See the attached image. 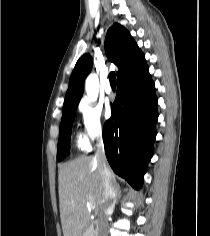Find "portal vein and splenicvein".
Returning <instances> with one entry per match:
<instances>
[{"mask_svg": "<svg viewBox=\"0 0 210 236\" xmlns=\"http://www.w3.org/2000/svg\"><path fill=\"white\" fill-rule=\"evenodd\" d=\"M89 204H90V207L95 208V206L92 202H90Z\"/></svg>", "mask_w": 210, "mask_h": 236, "instance_id": "portal-vein-and-splenic-vein-1", "label": "portal vein and splenic vein"}]
</instances>
